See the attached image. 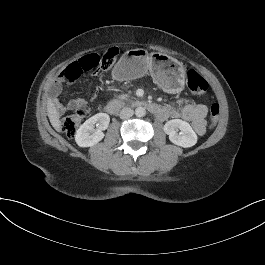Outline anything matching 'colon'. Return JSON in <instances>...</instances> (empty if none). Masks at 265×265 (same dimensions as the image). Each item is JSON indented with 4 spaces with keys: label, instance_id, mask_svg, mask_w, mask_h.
I'll use <instances>...</instances> for the list:
<instances>
[{
    "label": "colon",
    "instance_id": "5ec220e1",
    "mask_svg": "<svg viewBox=\"0 0 265 265\" xmlns=\"http://www.w3.org/2000/svg\"><path fill=\"white\" fill-rule=\"evenodd\" d=\"M117 49L110 48L103 55L89 54L79 60L71 63L60 74V78L66 81L77 79L82 73L90 70H109L117 57ZM186 84L193 96H202L208 90L207 80L196 70L190 69L186 73ZM88 113L87 108H81L63 117L60 121L61 130L68 136L72 137L80 126L82 120ZM220 114V106L214 103L210 108V128L216 126Z\"/></svg>",
    "mask_w": 265,
    "mask_h": 265
}]
</instances>
